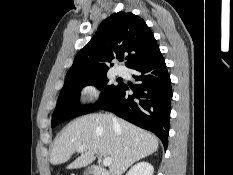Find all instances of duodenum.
Listing matches in <instances>:
<instances>
[{"label": "duodenum", "instance_id": "1", "mask_svg": "<svg viewBox=\"0 0 233 175\" xmlns=\"http://www.w3.org/2000/svg\"><path fill=\"white\" fill-rule=\"evenodd\" d=\"M91 175H110L104 168L93 165L90 168Z\"/></svg>", "mask_w": 233, "mask_h": 175}]
</instances>
